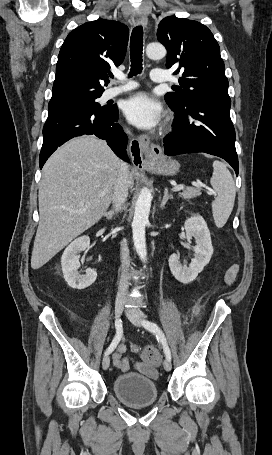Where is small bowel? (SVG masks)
Segmentation results:
<instances>
[{
	"instance_id": "obj_1",
	"label": "small bowel",
	"mask_w": 272,
	"mask_h": 455,
	"mask_svg": "<svg viewBox=\"0 0 272 455\" xmlns=\"http://www.w3.org/2000/svg\"><path fill=\"white\" fill-rule=\"evenodd\" d=\"M239 272V266L237 264L231 265L224 274V282L227 285H231L236 280V277ZM133 350L135 352L139 351L137 345H133ZM126 346L124 344H119L116 351L114 352L112 359L113 364L122 372H127L131 367L139 371L140 373L150 377H157V370L155 367L148 363L135 362L131 357L125 356Z\"/></svg>"
}]
</instances>
